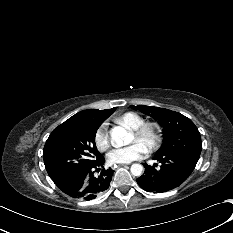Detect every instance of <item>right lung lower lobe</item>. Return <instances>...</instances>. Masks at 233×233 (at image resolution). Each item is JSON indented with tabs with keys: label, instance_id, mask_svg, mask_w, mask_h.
<instances>
[{
	"label": "right lung lower lobe",
	"instance_id": "obj_1",
	"mask_svg": "<svg viewBox=\"0 0 233 233\" xmlns=\"http://www.w3.org/2000/svg\"><path fill=\"white\" fill-rule=\"evenodd\" d=\"M105 159L102 158L93 165L80 170L72 178L57 186L67 195L84 200L94 199L105 191L112 180L113 170L103 168Z\"/></svg>",
	"mask_w": 233,
	"mask_h": 233
}]
</instances>
